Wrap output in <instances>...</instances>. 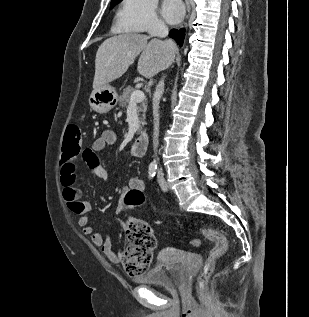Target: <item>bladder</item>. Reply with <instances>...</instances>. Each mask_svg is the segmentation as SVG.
<instances>
[{
	"mask_svg": "<svg viewBox=\"0 0 309 317\" xmlns=\"http://www.w3.org/2000/svg\"><path fill=\"white\" fill-rule=\"evenodd\" d=\"M135 282L158 285L167 289H178L184 282L183 267L179 262L157 263L145 273L138 275Z\"/></svg>",
	"mask_w": 309,
	"mask_h": 317,
	"instance_id": "obj_1",
	"label": "bladder"
}]
</instances>
